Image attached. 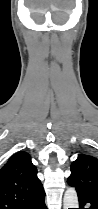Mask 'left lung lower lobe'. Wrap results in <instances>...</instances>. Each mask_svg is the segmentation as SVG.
Returning <instances> with one entry per match:
<instances>
[{"label": "left lung lower lobe", "instance_id": "obj_1", "mask_svg": "<svg viewBox=\"0 0 98 209\" xmlns=\"http://www.w3.org/2000/svg\"><path fill=\"white\" fill-rule=\"evenodd\" d=\"M79 199V209H98V201L81 194H78ZM89 206L85 208V206Z\"/></svg>", "mask_w": 98, "mask_h": 209}]
</instances>
